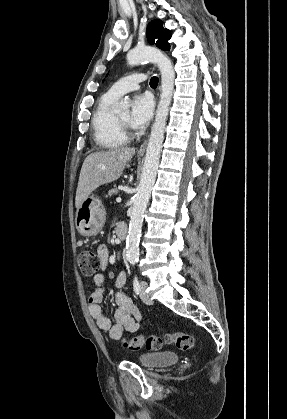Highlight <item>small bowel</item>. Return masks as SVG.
I'll return each mask as SVG.
<instances>
[{
	"label": "small bowel",
	"instance_id": "obj_1",
	"mask_svg": "<svg viewBox=\"0 0 287 419\" xmlns=\"http://www.w3.org/2000/svg\"><path fill=\"white\" fill-rule=\"evenodd\" d=\"M98 254L101 258L103 267L106 266L108 261V251L106 247L100 246ZM127 282V274L120 272L116 278L115 285L117 288H122ZM105 283V276L102 273L94 277L95 290L89 297L88 309L90 315L95 320L98 327L106 333L111 339H123L124 331L134 333L140 328V321L142 316L136 306L132 303L130 297L124 292H117L115 301L117 309L114 313V322L104 314L101 307L103 300V285Z\"/></svg>",
	"mask_w": 287,
	"mask_h": 419
}]
</instances>
